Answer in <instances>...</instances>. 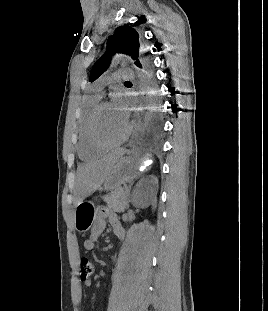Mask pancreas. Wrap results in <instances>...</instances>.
Here are the masks:
<instances>
[{
  "label": "pancreas",
  "mask_w": 268,
  "mask_h": 311,
  "mask_svg": "<svg viewBox=\"0 0 268 311\" xmlns=\"http://www.w3.org/2000/svg\"><path fill=\"white\" fill-rule=\"evenodd\" d=\"M107 206L114 212L123 213L128 208V195L122 189L112 191L103 197Z\"/></svg>",
  "instance_id": "cf45deb5"
}]
</instances>
